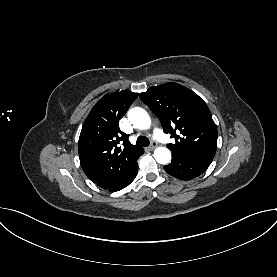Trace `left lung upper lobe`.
<instances>
[{"instance_id":"left-lung-upper-lobe-1","label":"left lung upper lobe","mask_w":277,"mask_h":277,"mask_svg":"<svg viewBox=\"0 0 277 277\" xmlns=\"http://www.w3.org/2000/svg\"><path fill=\"white\" fill-rule=\"evenodd\" d=\"M140 99L160 119L164 132L175 138L174 144L167 145L172 154L214 157L217 128L206 103L197 94L171 82L149 88Z\"/></svg>"}]
</instances>
